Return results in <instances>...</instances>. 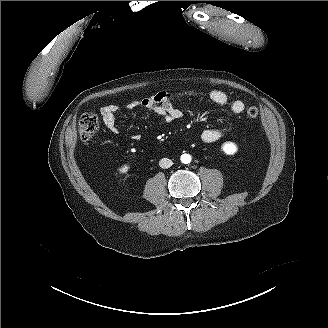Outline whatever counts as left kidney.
Listing matches in <instances>:
<instances>
[{"mask_svg": "<svg viewBox=\"0 0 328 328\" xmlns=\"http://www.w3.org/2000/svg\"><path fill=\"white\" fill-rule=\"evenodd\" d=\"M222 149L227 154H234L237 151V146L232 142H225L222 145Z\"/></svg>", "mask_w": 328, "mask_h": 328, "instance_id": "5707ae66", "label": "left kidney"}]
</instances>
